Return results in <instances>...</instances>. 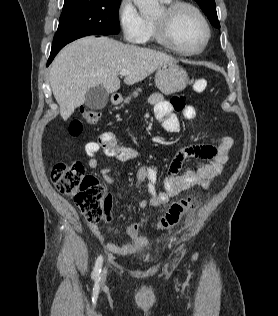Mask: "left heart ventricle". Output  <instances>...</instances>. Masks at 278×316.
<instances>
[{
    "label": "left heart ventricle",
    "instance_id": "1",
    "mask_svg": "<svg viewBox=\"0 0 278 316\" xmlns=\"http://www.w3.org/2000/svg\"><path fill=\"white\" fill-rule=\"evenodd\" d=\"M162 10L155 17L159 18ZM173 32L177 42L187 50L198 49L205 39V28L197 15L188 8L181 9L174 17Z\"/></svg>",
    "mask_w": 278,
    "mask_h": 316
}]
</instances>
